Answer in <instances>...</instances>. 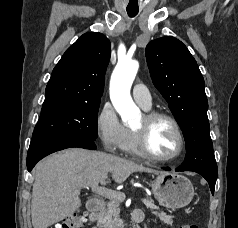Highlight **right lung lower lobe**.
<instances>
[{
    "mask_svg": "<svg viewBox=\"0 0 238 228\" xmlns=\"http://www.w3.org/2000/svg\"><path fill=\"white\" fill-rule=\"evenodd\" d=\"M71 147L96 149L94 140L83 137L56 136L32 138L27 154L28 171H31L35 164L43 157L53 152Z\"/></svg>",
    "mask_w": 238,
    "mask_h": 228,
    "instance_id": "1",
    "label": "right lung lower lobe"
}]
</instances>
